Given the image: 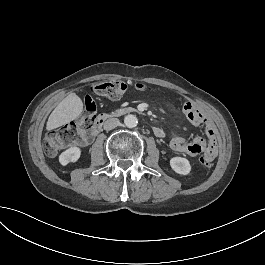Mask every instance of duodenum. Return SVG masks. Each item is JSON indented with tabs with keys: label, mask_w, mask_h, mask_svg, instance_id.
<instances>
[{
	"label": "duodenum",
	"mask_w": 265,
	"mask_h": 265,
	"mask_svg": "<svg viewBox=\"0 0 265 265\" xmlns=\"http://www.w3.org/2000/svg\"><path fill=\"white\" fill-rule=\"evenodd\" d=\"M107 118H109V114L100 115L96 119L95 124H94L92 129H94L98 133H100L102 128H103V124H104V122L106 121ZM153 133L158 138H163L165 136L164 130L162 128H160V127H154L153 128Z\"/></svg>",
	"instance_id": "1"
}]
</instances>
